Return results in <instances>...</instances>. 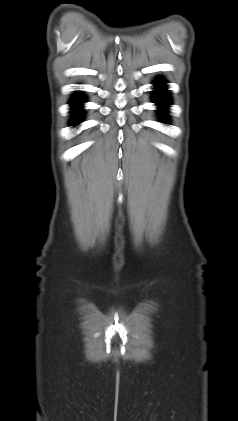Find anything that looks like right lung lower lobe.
Wrapping results in <instances>:
<instances>
[{
	"label": "right lung lower lobe",
	"mask_w": 238,
	"mask_h": 421,
	"mask_svg": "<svg viewBox=\"0 0 238 421\" xmlns=\"http://www.w3.org/2000/svg\"><path fill=\"white\" fill-rule=\"evenodd\" d=\"M84 102V99L81 95H75L71 101V104L73 105L72 113H73V124L79 123L80 117L83 113L82 109H80V105Z\"/></svg>",
	"instance_id": "98d812e1"
}]
</instances>
